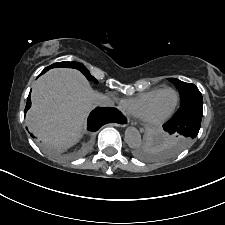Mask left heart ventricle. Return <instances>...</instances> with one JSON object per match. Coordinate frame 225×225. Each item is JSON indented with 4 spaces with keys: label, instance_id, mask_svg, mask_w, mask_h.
Masks as SVG:
<instances>
[{
    "label": "left heart ventricle",
    "instance_id": "1",
    "mask_svg": "<svg viewBox=\"0 0 225 225\" xmlns=\"http://www.w3.org/2000/svg\"><path fill=\"white\" fill-rule=\"evenodd\" d=\"M176 103V94L172 91H167L161 94L151 107L149 118L156 120L162 118L174 107Z\"/></svg>",
    "mask_w": 225,
    "mask_h": 225
}]
</instances>
